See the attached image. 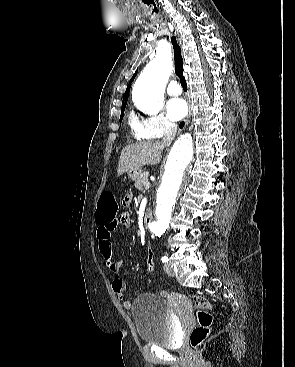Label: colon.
<instances>
[{
    "instance_id": "1",
    "label": "colon",
    "mask_w": 295,
    "mask_h": 367,
    "mask_svg": "<svg viewBox=\"0 0 295 367\" xmlns=\"http://www.w3.org/2000/svg\"><path fill=\"white\" fill-rule=\"evenodd\" d=\"M125 203V200H123L124 205ZM117 218L118 204L113 194L109 192L103 193L99 200L96 219L99 222H109ZM147 261L149 270H154L156 265L153 263V252L151 249L148 250ZM192 300L198 311V325L191 332L190 342L194 348H197L202 345L210 332V326L212 324V315L210 311L212 309V305L204 296L201 295L192 296Z\"/></svg>"
}]
</instances>
